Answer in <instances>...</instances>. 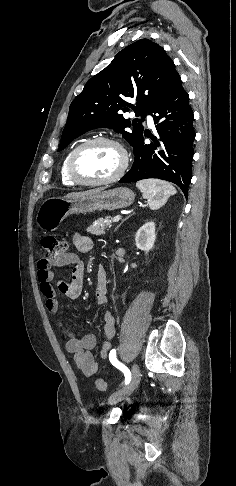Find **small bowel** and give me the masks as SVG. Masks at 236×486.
I'll return each instance as SVG.
<instances>
[{"instance_id": "small-bowel-1", "label": "small bowel", "mask_w": 236, "mask_h": 486, "mask_svg": "<svg viewBox=\"0 0 236 486\" xmlns=\"http://www.w3.org/2000/svg\"><path fill=\"white\" fill-rule=\"evenodd\" d=\"M73 244L75 248L82 253L91 251L94 246L93 239L90 236L79 233L75 234ZM68 265L72 266L70 280L60 281L58 283V290L62 295L70 299H77L80 297L83 290L84 263L76 253H65L57 262H50L46 258L41 259L37 265V277L40 284V291L46 299V309L50 314L57 317L55 320L56 326L67 338L66 350L73 354V359L77 368L85 376L90 377L97 373L99 369V364L92 354V350L97 343L96 336L88 334L83 337H78L74 333L72 326L58 317L61 311V304L52 285L54 279L52 268L53 266L64 267ZM95 297L99 307H105L108 304L107 276L103 266H100L97 271ZM103 331L105 341L101 346L100 357L101 359L106 360L111 348V340L115 335V318L109 311H105L103 314Z\"/></svg>"}]
</instances>
